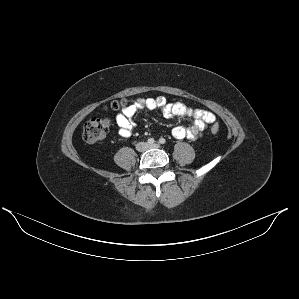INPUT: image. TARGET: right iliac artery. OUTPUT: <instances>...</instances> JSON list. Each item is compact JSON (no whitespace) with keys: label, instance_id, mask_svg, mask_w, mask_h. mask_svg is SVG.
Masks as SVG:
<instances>
[{"label":"right iliac artery","instance_id":"obj_1","mask_svg":"<svg viewBox=\"0 0 299 299\" xmlns=\"http://www.w3.org/2000/svg\"><path fill=\"white\" fill-rule=\"evenodd\" d=\"M154 142H155V140L153 139V138H149L148 140H147V143L148 144H154Z\"/></svg>","mask_w":299,"mask_h":299}]
</instances>
